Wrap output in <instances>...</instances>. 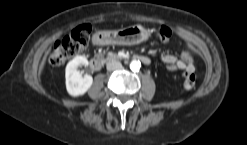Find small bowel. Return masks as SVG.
I'll return each mask as SVG.
<instances>
[{
  "mask_svg": "<svg viewBox=\"0 0 247 145\" xmlns=\"http://www.w3.org/2000/svg\"><path fill=\"white\" fill-rule=\"evenodd\" d=\"M160 60L166 64L171 71L183 70L185 73L194 72V50L192 47H187L180 57L172 54L163 53L160 55Z\"/></svg>",
  "mask_w": 247,
  "mask_h": 145,
  "instance_id": "1",
  "label": "small bowel"
}]
</instances>
